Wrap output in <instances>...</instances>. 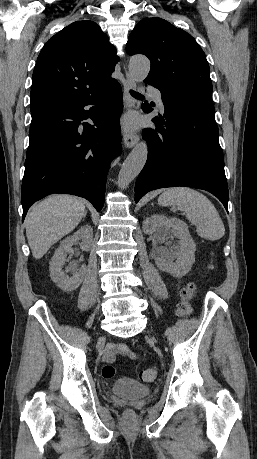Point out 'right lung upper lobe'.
Returning <instances> with one entry per match:
<instances>
[{"mask_svg":"<svg viewBox=\"0 0 257 459\" xmlns=\"http://www.w3.org/2000/svg\"><path fill=\"white\" fill-rule=\"evenodd\" d=\"M115 47L93 21H76L42 48L32 76L31 113L84 100L107 90L118 61Z\"/></svg>","mask_w":257,"mask_h":459,"instance_id":"cb5924a9","label":"right lung upper lobe"}]
</instances>
